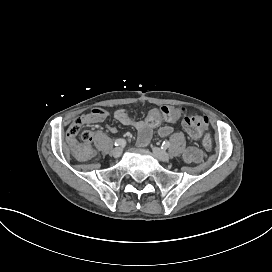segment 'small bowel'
Segmentation results:
<instances>
[{"instance_id":"obj_1","label":"small bowel","mask_w":272,"mask_h":272,"mask_svg":"<svg viewBox=\"0 0 272 272\" xmlns=\"http://www.w3.org/2000/svg\"><path fill=\"white\" fill-rule=\"evenodd\" d=\"M114 118L125 126L133 127L138 132V143L141 145L146 144L152 134V129L157 127L162 120L174 124L179 119V111L174 107H161L159 110H152L149 112L145 120H138L133 118L128 112L123 109H118L113 113ZM109 117V112L100 107L92 108L89 112H86L78 116L74 121H79L83 125H91L101 123ZM73 121V122H74ZM110 132H116V128L112 126H106ZM174 129L171 125H163L158 129V134L161 137H167L173 133ZM94 137V134L89 131H85ZM69 142L77 147L74 137L70 136L67 132ZM91 147V146H90ZM89 147V148H90ZM185 159L188 162H197L200 158V153L196 148H189L185 154Z\"/></svg>"}]
</instances>
